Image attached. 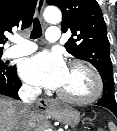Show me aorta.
I'll return each mask as SVG.
<instances>
[{
  "label": "aorta",
  "mask_w": 117,
  "mask_h": 131,
  "mask_svg": "<svg viewBox=\"0 0 117 131\" xmlns=\"http://www.w3.org/2000/svg\"><path fill=\"white\" fill-rule=\"evenodd\" d=\"M44 19L49 23H57L61 20V12L56 7H48L43 13Z\"/></svg>",
  "instance_id": "aorta-1"
}]
</instances>
